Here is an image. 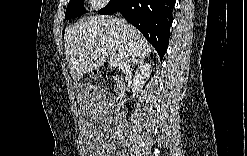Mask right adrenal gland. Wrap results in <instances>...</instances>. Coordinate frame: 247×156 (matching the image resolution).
Instances as JSON below:
<instances>
[{
    "label": "right adrenal gland",
    "mask_w": 247,
    "mask_h": 156,
    "mask_svg": "<svg viewBox=\"0 0 247 156\" xmlns=\"http://www.w3.org/2000/svg\"><path fill=\"white\" fill-rule=\"evenodd\" d=\"M144 59H145V56H140L139 59L136 60V61L133 63L132 67H134L135 65H139V64L142 65V64L144 63Z\"/></svg>",
    "instance_id": "right-adrenal-gland-1"
}]
</instances>
